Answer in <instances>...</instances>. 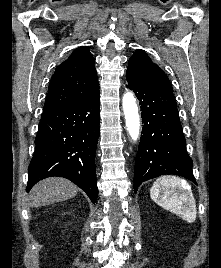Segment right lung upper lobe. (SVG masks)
Segmentation results:
<instances>
[{"instance_id": "1", "label": "right lung upper lobe", "mask_w": 221, "mask_h": 268, "mask_svg": "<svg viewBox=\"0 0 221 268\" xmlns=\"http://www.w3.org/2000/svg\"><path fill=\"white\" fill-rule=\"evenodd\" d=\"M99 92L94 58L87 47L75 49L53 74L43 110L70 106Z\"/></svg>"}]
</instances>
